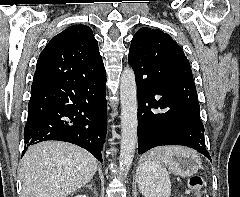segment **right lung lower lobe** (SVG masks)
<instances>
[{"label":"right lung lower lobe","mask_w":240,"mask_h":197,"mask_svg":"<svg viewBox=\"0 0 240 197\" xmlns=\"http://www.w3.org/2000/svg\"><path fill=\"white\" fill-rule=\"evenodd\" d=\"M106 72L32 85L25 147L46 140L74 143L99 161L107 131ZM22 154V156H23Z\"/></svg>","instance_id":"obj_1"}]
</instances>
